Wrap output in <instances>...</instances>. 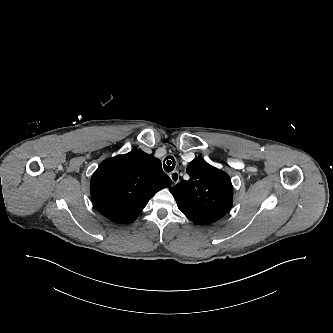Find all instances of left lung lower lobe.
<instances>
[{"instance_id": "0a47b994", "label": "left lung lower lobe", "mask_w": 333, "mask_h": 333, "mask_svg": "<svg viewBox=\"0 0 333 333\" xmlns=\"http://www.w3.org/2000/svg\"><path fill=\"white\" fill-rule=\"evenodd\" d=\"M191 221L196 224H209L222 218L227 212L221 210L201 211L188 207H179Z\"/></svg>"}]
</instances>
